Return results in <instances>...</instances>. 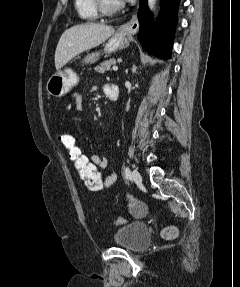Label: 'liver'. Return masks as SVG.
<instances>
[{
  "instance_id": "liver-1",
  "label": "liver",
  "mask_w": 240,
  "mask_h": 287,
  "mask_svg": "<svg viewBox=\"0 0 240 287\" xmlns=\"http://www.w3.org/2000/svg\"><path fill=\"white\" fill-rule=\"evenodd\" d=\"M114 32L110 25L93 22L74 25L67 29L60 37L55 51L56 69L59 70L83 51L100 45Z\"/></svg>"
}]
</instances>
